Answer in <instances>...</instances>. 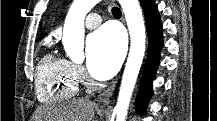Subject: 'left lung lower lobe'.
<instances>
[{
	"label": "left lung lower lobe",
	"instance_id": "0a47b994",
	"mask_svg": "<svg viewBox=\"0 0 217 121\" xmlns=\"http://www.w3.org/2000/svg\"><path fill=\"white\" fill-rule=\"evenodd\" d=\"M145 14L149 44L148 55L144 65L143 77L136 100V112L144 115L147 102L152 95V80L156 73L163 45L162 25L159 12L153 0H140Z\"/></svg>",
	"mask_w": 217,
	"mask_h": 121
}]
</instances>
